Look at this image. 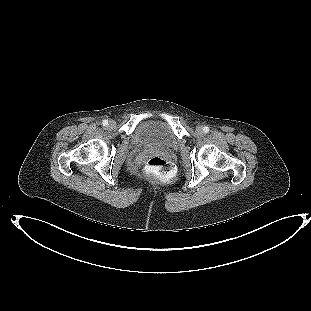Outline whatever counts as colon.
<instances>
[{
	"mask_svg": "<svg viewBox=\"0 0 311 311\" xmlns=\"http://www.w3.org/2000/svg\"><path fill=\"white\" fill-rule=\"evenodd\" d=\"M146 172L149 176L161 182H169L174 177L172 164L161 156H153L148 160Z\"/></svg>",
	"mask_w": 311,
	"mask_h": 311,
	"instance_id": "5ec220e1",
	"label": "colon"
}]
</instances>
